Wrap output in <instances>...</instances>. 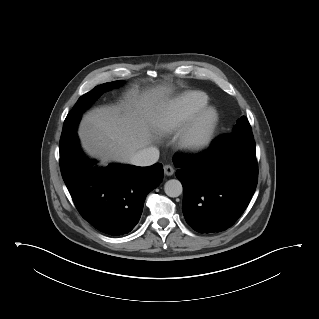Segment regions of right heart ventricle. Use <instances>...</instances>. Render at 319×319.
<instances>
[{
    "mask_svg": "<svg viewBox=\"0 0 319 319\" xmlns=\"http://www.w3.org/2000/svg\"><path fill=\"white\" fill-rule=\"evenodd\" d=\"M204 92L188 91L167 103L156 115L154 125L163 135H173L183 130L194 115L208 105Z\"/></svg>",
    "mask_w": 319,
    "mask_h": 319,
    "instance_id": "e07e8e85",
    "label": "right heart ventricle"
}]
</instances>
